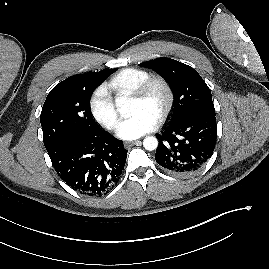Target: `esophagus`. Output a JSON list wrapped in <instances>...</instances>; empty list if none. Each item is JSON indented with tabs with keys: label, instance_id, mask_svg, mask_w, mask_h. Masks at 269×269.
Instances as JSON below:
<instances>
[{
	"label": "esophagus",
	"instance_id": "1",
	"mask_svg": "<svg viewBox=\"0 0 269 269\" xmlns=\"http://www.w3.org/2000/svg\"><path fill=\"white\" fill-rule=\"evenodd\" d=\"M138 143H141V141H139V140H136V141H126V142H124V147L125 148H129V147H131V146H133L135 144H138Z\"/></svg>",
	"mask_w": 269,
	"mask_h": 269
}]
</instances>
